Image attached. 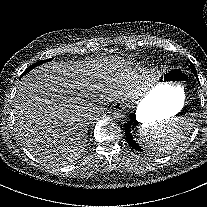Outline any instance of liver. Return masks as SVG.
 <instances>
[{
    "mask_svg": "<svg viewBox=\"0 0 207 207\" xmlns=\"http://www.w3.org/2000/svg\"><path fill=\"white\" fill-rule=\"evenodd\" d=\"M95 68L62 62L43 64L26 74L14 98L16 133L29 151L75 155L86 146L95 105L86 103L95 87Z\"/></svg>",
    "mask_w": 207,
    "mask_h": 207,
    "instance_id": "liver-1",
    "label": "liver"
}]
</instances>
